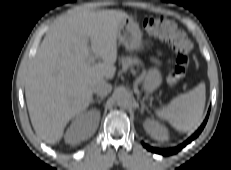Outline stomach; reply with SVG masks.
Wrapping results in <instances>:
<instances>
[{
  "label": "stomach",
  "instance_id": "1",
  "mask_svg": "<svg viewBox=\"0 0 231 170\" xmlns=\"http://www.w3.org/2000/svg\"><path fill=\"white\" fill-rule=\"evenodd\" d=\"M117 37L120 43L129 51H141L144 48L141 30L138 24L130 17L120 22ZM159 82V71L153 68L146 73L143 80V87L147 91H152L157 87Z\"/></svg>",
  "mask_w": 231,
  "mask_h": 170
}]
</instances>
